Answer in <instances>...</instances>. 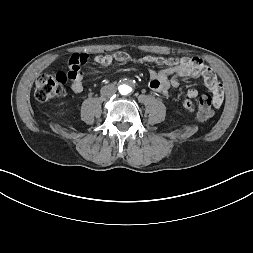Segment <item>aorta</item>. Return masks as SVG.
Returning a JSON list of instances; mask_svg holds the SVG:
<instances>
[{
	"mask_svg": "<svg viewBox=\"0 0 253 253\" xmlns=\"http://www.w3.org/2000/svg\"><path fill=\"white\" fill-rule=\"evenodd\" d=\"M132 91V88L126 84L119 86V92L123 95H127Z\"/></svg>",
	"mask_w": 253,
	"mask_h": 253,
	"instance_id": "1",
	"label": "aorta"
}]
</instances>
